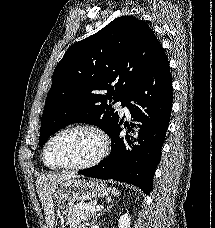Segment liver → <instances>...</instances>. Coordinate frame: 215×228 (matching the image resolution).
Returning <instances> with one entry per match:
<instances>
[{
    "label": "liver",
    "mask_w": 215,
    "mask_h": 228,
    "mask_svg": "<svg viewBox=\"0 0 215 228\" xmlns=\"http://www.w3.org/2000/svg\"><path fill=\"white\" fill-rule=\"evenodd\" d=\"M72 178H80L74 172H66V174H48V176H38L35 184L37 194L41 200L42 208L45 214L47 228H53L55 222L54 206L51 198V186H55L61 180H72Z\"/></svg>",
    "instance_id": "1"
}]
</instances>
